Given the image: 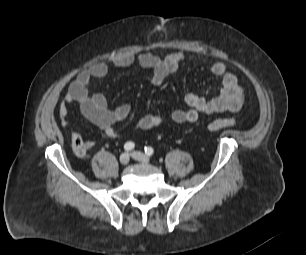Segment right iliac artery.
I'll return each instance as SVG.
<instances>
[{"instance_id": "right-iliac-artery-1", "label": "right iliac artery", "mask_w": 306, "mask_h": 255, "mask_svg": "<svg viewBox=\"0 0 306 255\" xmlns=\"http://www.w3.org/2000/svg\"><path fill=\"white\" fill-rule=\"evenodd\" d=\"M134 146H135L134 143L129 141L125 143L124 149L129 152L134 149Z\"/></svg>"}]
</instances>
